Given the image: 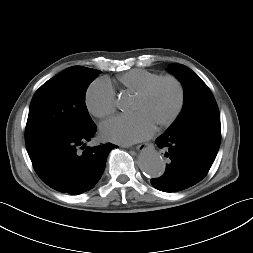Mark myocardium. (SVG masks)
<instances>
[{
	"label": "myocardium",
	"instance_id": "myocardium-1",
	"mask_svg": "<svg viewBox=\"0 0 253 253\" xmlns=\"http://www.w3.org/2000/svg\"><path fill=\"white\" fill-rule=\"evenodd\" d=\"M164 82H170L175 86L177 91V103L171 115L167 119L157 124L160 128L170 126L181 114L185 103V89L183 83L173 75L160 76L149 82L140 91L136 93L137 97L146 98L158 85Z\"/></svg>",
	"mask_w": 253,
	"mask_h": 253
}]
</instances>
